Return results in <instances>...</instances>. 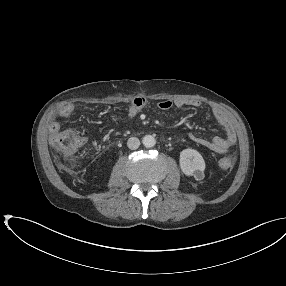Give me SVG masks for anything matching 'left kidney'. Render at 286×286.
I'll use <instances>...</instances> for the list:
<instances>
[{
  "label": "left kidney",
  "mask_w": 286,
  "mask_h": 286,
  "mask_svg": "<svg viewBox=\"0 0 286 286\" xmlns=\"http://www.w3.org/2000/svg\"><path fill=\"white\" fill-rule=\"evenodd\" d=\"M205 167V161L197 150L188 148L180 152V168L186 176L202 180Z\"/></svg>",
  "instance_id": "obj_1"
}]
</instances>
